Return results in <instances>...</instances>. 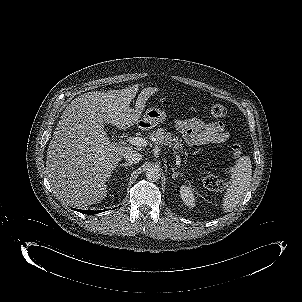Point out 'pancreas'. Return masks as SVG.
<instances>
[{"label":"pancreas","mask_w":302,"mask_h":302,"mask_svg":"<svg viewBox=\"0 0 302 302\" xmlns=\"http://www.w3.org/2000/svg\"><path fill=\"white\" fill-rule=\"evenodd\" d=\"M149 138L160 145H172L175 149L183 150L182 139L166 132L163 128L151 132Z\"/></svg>","instance_id":"obj_1"}]
</instances>
